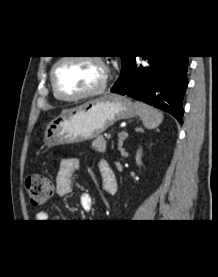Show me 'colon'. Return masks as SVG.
Returning a JSON list of instances; mask_svg holds the SVG:
<instances>
[{
	"instance_id": "1",
	"label": "colon",
	"mask_w": 218,
	"mask_h": 277,
	"mask_svg": "<svg viewBox=\"0 0 218 277\" xmlns=\"http://www.w3.org/2000/svg\"><path fill=\"white\" fill-rule=\"evenodd\" d=\"M26 189L34 205L46 203L52 196L54 185L50 178L42 174H32L27 178Z\"/></svg>"
}]
</instances>
